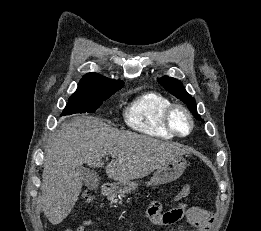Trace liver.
<instances>
[{
  "label": "liver",
  "mask_w": 261,
  "mask_h": 231,
  "mask_svg": "<svg viewBox=\"0 0 261 231\" xmlns=\"http://www.w3.org/2000/svg\"><path fill=\"white\" fill-rule=\"evenodd\" d=\"M187 148L142 134L121 131L94 117L65 122L46 149L42 174V210L49 222L61 223L78 200L82 180L76 169L86 163L102 167V158L112 156L107 176L126 183L149 175Z\"/></svg>",
  "instance_id": "obj_1"
}]
</instances>
